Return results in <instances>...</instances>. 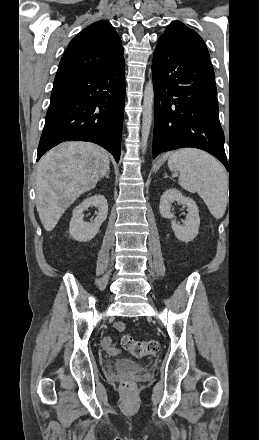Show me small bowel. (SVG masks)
Wrapping results in <instances>:
<instances>
[{"label":"small bowel","mask_w":259,"mask_h":440,"mask_svg":"<svg viewBox=\"0 0 259 440\" xmlns=\"http://www.w3.org/2000/svg\"><path fill=\"white\" fill-rule=\"evenodd\" d=\"M114 327L119 331H123L125 329V324L122 322H116ZM101 345L110 354H117L119 352V349L115 346L111 337H105L101 341Z\"/></svg>","instance_id":"small-bowel-1"}]
</instances>
